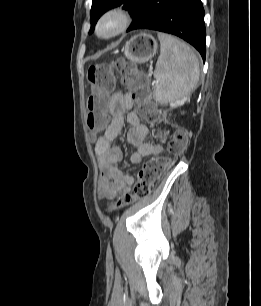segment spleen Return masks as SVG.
Segmentation results:
<instances>
[{
    "mask_svg": "<svg viewBox=\"0 0 261 306\" xmlns=\"http://www.w3.org/2000/svg\"><path fill=\"white\" fill-rule=\"evenodd\" d=\"M161 44L154 77L158 86L154 91L156 101L162 104H183L199 81V62L192 49L178 39L158 33Z\"/></svg>",
    "mask_w": 261,
    "mask_h": 306,
    "instance_id": "3e777b00",
    "label": "spleen"
}]
</instances>
